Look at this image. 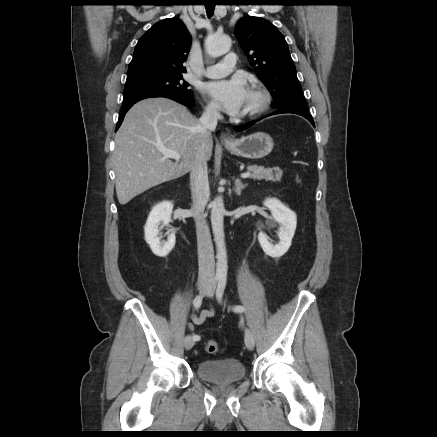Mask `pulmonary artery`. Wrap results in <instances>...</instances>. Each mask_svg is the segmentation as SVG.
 Listing matches in <instances>:
<instances>
[{"mask_svg":"<svg viewBox=\"0 0 437 437\" xmlns=\"http://www.w3.org/2000/svg\"><path fill=\"white\" fill-rule=\"evenodd\" d=\"M236 65V54L228 53L224 59L214 65L207 66L204 75L209 78H221L228 75Z\"/></svg>","mask_w":437,"mask_h":437,"instance_id":"obj_1","label":"pulmonary artery"}]
</instances>
